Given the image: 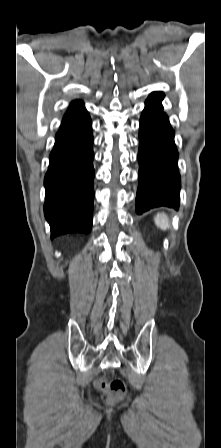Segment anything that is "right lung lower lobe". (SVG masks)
<instances>
[{
    "mask_svg": "<svg viewBox=\"0 0 221 448\" xmlns=\"http://www.w3.org/2000/svg\"><path fill=\"white\" fill-rule=\"evenodd\" d=\"M92 122L82 101L65 113L45 175L44 213L51 239L67 233H89L93 214Z\"/></svg>",
    "mask_w": 221,
    "mask_h": 448,
    "instance_id": "98d812e1",
    "label": "right lung lower lobe"
}]
</instances>
